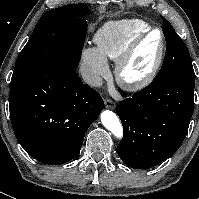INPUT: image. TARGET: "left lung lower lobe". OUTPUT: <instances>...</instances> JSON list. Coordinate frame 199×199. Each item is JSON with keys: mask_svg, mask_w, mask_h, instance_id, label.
I'll return each instance as SVG.
<instances>
[{"mask_svg": "<svg viewBox=\"0 0 199 199\" xmlns=\"http://www.w3.org/2000/svg\"><path fill=\"white\" fill-rule=\"evenodd\" d=\"M194 85L195 78H170L120 102L124 137L117 153L127 166L150 168L179 149L194 110Z\"/></svg>", "mask_w": 199, "mask_h": 199, "instance_id": "1", "label": "left lung lower lobe"}]
</instances>
